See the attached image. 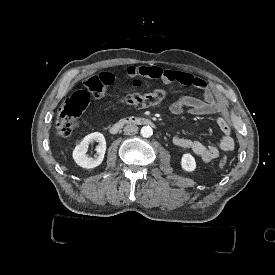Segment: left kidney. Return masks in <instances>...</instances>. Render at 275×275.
Returning a JSON list of instances; mask_svg holds the SVG:
<instances>
[{"mask_svg":"<svg viewBox=\"0 0 275 275\" xmlns=\"http://www.w3.org/2000/svg\"><path fill=\"white\" fill-rule=\"evenodd\" d=\"M180 165L185 172H194L197 168V162L190 153H184L182 155Z\"/></svg>","mask_w":275,"mask_h":275,"instance_id":"5707ae66","label":"left kidney"}]
</instances>
